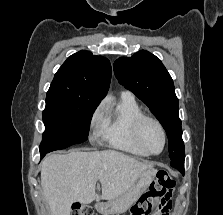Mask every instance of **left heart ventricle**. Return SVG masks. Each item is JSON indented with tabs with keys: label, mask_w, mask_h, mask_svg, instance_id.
I'll return each instance as SVG.
<instances>
[{
	"label": "left heart ventricle",
	"mask_w": 223,
	"mask_h": 215,
	"mask_svg": "<svg viewBox=\"0 0 223 215\" xmlns=\"http://www.w3.org/2000/svg\"><path fill=\"white\" fill-rule=\"evenodd\" d=\"M141 145L146 152H158L162 146V136L158 127L152 122H146L141 131Z\"/></svg>",
	"instance_id": "1"
}]
</instances>
